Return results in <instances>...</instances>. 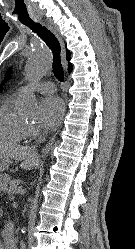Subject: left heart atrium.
Segmentation results:
<instances>
[{"instance_id": "39dd6f15", "label": "left heart atrium", "mask_w": 135, "mask_h": 249, "mask_svg": "<svg viewBox=\"0 0 135 249\" xmlns=\"http://www.w3.org/2000/svg\"><path fill=\"white\" fill-rule=\"evenodd\" d=\"M65 111L64 102L58 96H50L41 102V125L46 129H54L61 122Z\"/></svg>"}]
</instances>
